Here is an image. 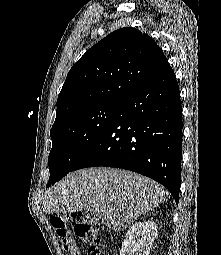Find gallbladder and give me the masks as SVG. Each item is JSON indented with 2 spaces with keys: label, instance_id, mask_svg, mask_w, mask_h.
I'll list each match as a JSON object with an SVG mask.
<instances>
[{
  "label": "gallbladder",
  "instance_id": "1",
  "mask_svg": "<svg viewBox=\"0 0 221 255\" xmlns=\"http://www.w3.org/2000/svg\"><path fill=\"white\" fill-rule=\"evenodd\" d=\"M89 215H92V216H95L96 215V213H95V211L94 210H88V211H86Z\"/></svg>",
  "mask_w": 221,
  "mask_h": 255
}]
</instances>
